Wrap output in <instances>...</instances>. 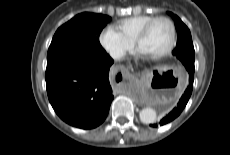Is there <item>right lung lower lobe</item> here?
<instances>
[{
  "label": "right lung lower lobe",
  "mask_w": 230,
  "mask_h": 155,
  "mask_svg": "<svg viewBox=\"0 0 230 155\" xmlns=\"http://www.w3.org/2000/svg\"><path fill=\"white\" fill-rule=\"evenodd\" d=\"M113 59L67 58L47 63L46 86L49 101L66 123L92 129L107 117L113 100L109 69Z\"/></svg>",
  "instance_id": "1"
}]
</instances>
